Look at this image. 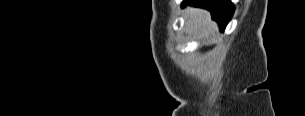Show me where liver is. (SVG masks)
Here are the masks:
<instances>
[{
	"instance_id": "liver-1",
	"label": "liver",
	"mask_w": 305,
	"mask_h": 116,
	"mask_svg": "<svg viewBox=\"0 0 305 116\" xmlns=\"http://www.w3.org/2000/svg\"><path fill=\"white\" fill-rule=\"evenodd\" d=\"M186 16V31L191 33L193 31L201 30V38H206L208 43H214V34L217 30L215 22L211 21L210 13L204 9L188 8L185 12ZM211 38V41L209 38Z\"/></svg>"
}]
</instances>
